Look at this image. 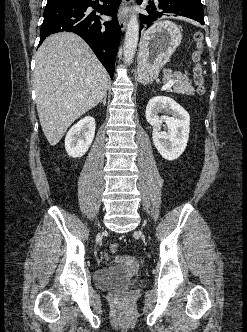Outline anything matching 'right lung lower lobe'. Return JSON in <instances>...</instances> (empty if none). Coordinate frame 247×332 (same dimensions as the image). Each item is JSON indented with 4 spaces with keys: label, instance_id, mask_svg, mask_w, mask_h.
I'll list each match as a JSON object with an SVG mask.
<instances>
[{
    "label": "right lung lower lobe",
    "instance_id": "obj_1",
    "mask_svg": "<svg viewBox=\"0 0 247 332\" xmlns=\"http://www.w3.org/2000/svg\"><path fill=\"white\" fill-rule=\"evenodd\" d=\"M101 1L103 5H96L91 0L48 1L40 30V44L51 34L73 32L88 43L113 78L116 53L121 39V28L117 20L121 0ZM88 7L97 8L101 14L112 15L113 20L101 24L98 16L88 15Z\"/></svg>",
    "mask_w": 247,
    "mask_h": 332
}]
</instances>
